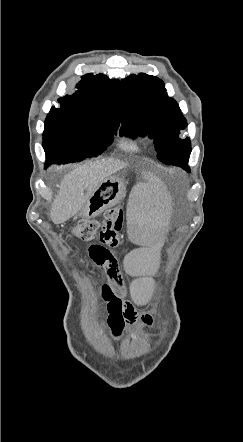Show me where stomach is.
Segmentation results:
<instances>
[{"instance_id": "obj_1", "label": "stomach", "mask_w": 243, "mask_h": 442, "mask_svg": "<svg viewBox=\"0 0 243 442\" xmlns=\"http://www.w3.org/2000/svg\"><path fill=\"white\" fill-rule=\"evenodd\" d=\"M126 187L121 178L109 176L96 188L79 212L83 218H94L117 204L125 195Z\"/></svg>"}]
</instances>
